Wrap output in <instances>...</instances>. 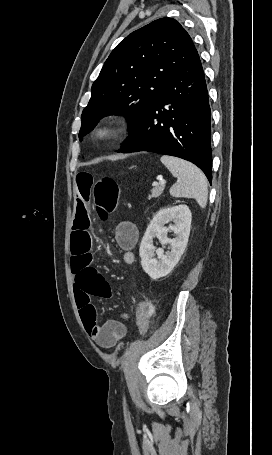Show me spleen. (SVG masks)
<instances>
[{
	"instance_id": "1",
	"label": "spleen",
	"mask_w": 272,
	"mask_h": 455,
	"mask_svg": "<svg viewBox=\"0 0 272 455\" xmlns=\"http://www.w3.org/2000/svg\"><path fill=\"white\" fill-rule=\"evenodd\" d=\"M161 162L170 170L177 182L170 188V194L176 198H194L201 208H205L208 199L207 179L192 163L177 157L163 155Z\"/></svg>"
}]
</instances>
